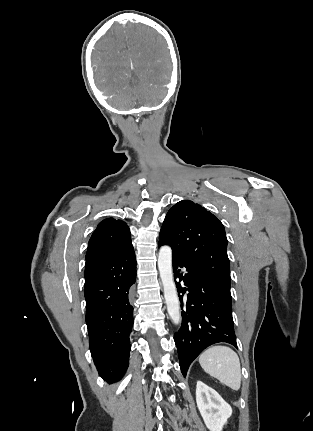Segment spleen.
<instances>
[{"label": "spleen", "mask_w": 313, "mask_h": 431, "mask_svg": "<svg viewBox=\"0 0 313 431\" xmlns=\"http://www.w3.org/2000/svg\"><path fill=\"white\" fill-rule=\"evenodd\" d=\"M203 370L232 390L241 387V368L238 355L227 346H212L199 357Z\"/></svg>", "instance_id": "1"}]
</instances>
